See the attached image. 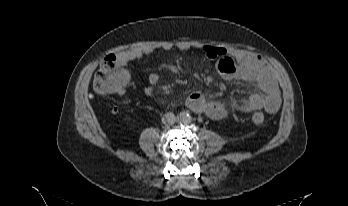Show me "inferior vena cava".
I'll return each mask as SVG.
<instances>
[{"label":"inferior vena cava","instance_id":"602c4592","mask_svg":"<svg viewBox=\"0 0 348 206\" xmlns=\"http://www.w3.org/2000/svg\"><path fill=\"white\" fill-rule=\"evenodd\" d=\"M176 121V117L172 112H168L163 115L162 117V123L165 125H172Z\"/></svg>","mask_w":348,"mask_h":206}]
</instances>
